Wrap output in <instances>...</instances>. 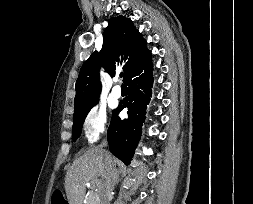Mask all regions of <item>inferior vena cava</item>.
<instances>
[{
  "instance_id": "1",
  "label": "inferior vena cava",
  "mask_w": 253,
  "mask_h": 204,
  "mask_svg": "<svg viewBox=\"0 0 253 204\" xmlns=\"http://www.w3.org/2000/svg\"><path fill=\"white\" fill-rule=\"evenodd\" d=\"M105 146H107V142L104 140L99 146V148L103 150L102 148ZM104 154H105L106 171L102 184L99 188V199H100L99 204H108V200L111 196V192L116 182V170L114 167V163L110 158V156L108 155L107 151H104Z\"/></svg>"
}]
</instances>
